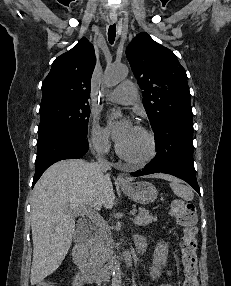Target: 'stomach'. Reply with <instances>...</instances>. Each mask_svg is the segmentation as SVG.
Masks as SVG:
<instances>
[{
	"label": "stomach",
	"mask_w": 231,
	"mask_h": 286,
	"mask_svg": "<svg viewBox=\"0 0 231 286\" xmlns=\"http://www.w3.org/2000/svg\"><path fill=\"white\" fill-rule=\"evenodd\" d=\"M121 189L133 201L143 205L153 202L158 195L156 187L146 181L129 183L127 186L121 185Z\"/></svg>",
	"instance_id": "stomach-1"
}]
</instances>
